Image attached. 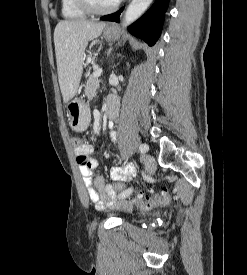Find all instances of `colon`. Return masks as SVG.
<instances>
[{"mask_svg": "<svg viewBox=\"0 0 247 275\" xmlns=\"http://www.w3.org/2000/svg\"><path fill=\"white\" fill-rule=\"evenodd\" d=\"M71 143L76 150L82 148L84 145L83 140L80 137H73ZM112 187L117 195H125V197L129 198L133 204L143 210H149L156 206L168 205L172 201V196L167 189L157 192L154 190L140 191L137 194L132 195V192H130L129 189H126L124 184L115 183Z\"/></svg>", "mask_w": 247, "mask_h": 275, "instance_id": "1", "label": "colon"}]
</instances>
